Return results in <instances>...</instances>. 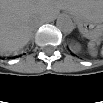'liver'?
Masks as SVG:
<instances>
[{
    "mask_svg": "<svg viewBox=\"0 0 103 103\" xmlns=\"http://www.w3.org/2000/svg\"><path fill=\"white\" fill-rule=\"evenodd\" d=\"M80 3L76 0H1V51L21 50L29 42L38 21H52L60 10L70 12L74 4Z\"/></svg>",
    "mask_w": 103,
    "mask_h": 103,
    "instance_id": "liver-1",
    "label": "liver"
}]
</instances>
